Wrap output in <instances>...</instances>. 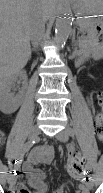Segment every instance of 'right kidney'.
Returning <instances> with one entry per match:
<instances>
[{"instance_id": "right-kidney-1", "label": "right kidney", "mask_w": 103, "mask_h": 193, "mask_svg": "<svg viewBox=\"0 0 103 193\" xmlns=\"http://www.w3.org/2000/svg\"><path fill=\"white\" fill-rule=\"evenodd\" d=\"M17 75L4 77L1 75L0 80V109L4 114H11L15 112L19 106V101L12 96L10 90L15 86Z\"/></svg>"}]
</instances>
